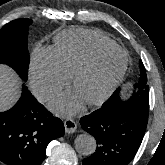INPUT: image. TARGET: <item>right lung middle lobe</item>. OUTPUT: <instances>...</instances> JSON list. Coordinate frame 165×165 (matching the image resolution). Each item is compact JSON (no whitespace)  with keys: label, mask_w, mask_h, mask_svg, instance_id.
Wrapping results in <instances>:
<instances>
[{"label":"right lung middle lobe","mask_w":165,"mask_h":165,"mask_svg":"<svg viewBox=\"0 0 165 165\" xmlns=\"http://www.w3.org/2000/svg\"><path fill=\"white\" fill-rule=\"evenodd\" d=\"M32 20L22 18L13 20L0 30V63L12 67L27 80L30 56L27 49L29 25Z\"/></svg>","instance_id":"dd1d6c3e"}]
</instances>
